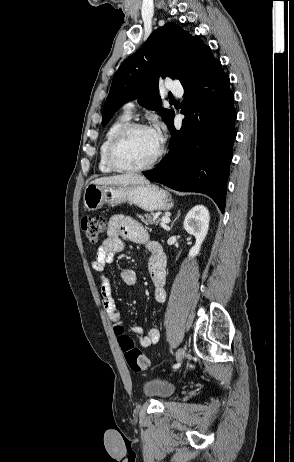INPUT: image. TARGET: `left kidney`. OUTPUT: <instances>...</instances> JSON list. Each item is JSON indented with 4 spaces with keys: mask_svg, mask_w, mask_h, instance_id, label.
I'll return each mask as SVG.
<instances>
[{
    "mask_svg": "<svg viewBox=\"0 0 294 462\" xmlns=\"http://www.w3.org/2000/svg\"><path fill=\"white\" fill-rule=\"evenodd\" d=\"M209 221V211L203 205L193 207L186 215L183 224L184 229L196 238L195 245L189 250V258L199 254L201 245L208 233Z\"/></svg>",
    "mask_w": 294,
    "mask_h": 462,
    "instance_id": "1",
    "label": "left kidney"
}]
</instances>
